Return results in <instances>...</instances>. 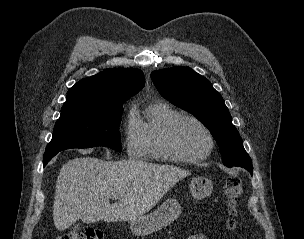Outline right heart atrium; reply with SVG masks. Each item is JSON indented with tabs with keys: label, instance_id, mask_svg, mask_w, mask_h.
Returning <instances> with one entry per match:
<instances>
[{
	"label": "right heart atrium",
	"instance_id": "1",
	"mask_svg": "<svg viewBox=\"0 0 304 239\" xmlns=\"http://www.w3.org/2000/svg\"><path fill=\"white\" fill-rule=\"evenodd\" d=\"M124 139L127 152L131 156H139L142 151V138L139 123L133 111H130L126 118Z\"/></svg>",
	"mask_w": 304,
	"mask_h": 239
}]
</instances>
